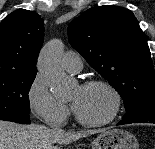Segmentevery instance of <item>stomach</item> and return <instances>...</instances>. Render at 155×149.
<instances>
[{
  "label": "stomach",
  "instance_id": "0dacf381",
  "mask_svg": "<svg viewBox=\"0 0 155 149\" xmlns=\"http://www.w3.org/2000/svg\"><path fill=\"white\" fill-rule=\"evenodd\" d=\"M92 149H139L136 137L123 129L110 128L91 143Z\"/></svg>",
  "mask_w": 155,
  "mask_h": 149
}]
</instances>
